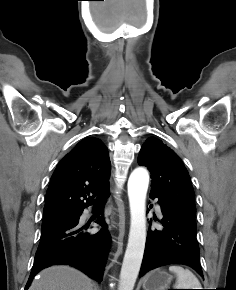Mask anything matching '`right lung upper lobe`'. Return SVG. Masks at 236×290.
Returning <instances> with one entry per match:
<instances>
[{
  "label": "right lung upper lobe",
  "instance_id": "right-lung-upper-lobe-1",
  "mask_svg": "<svg viewBox=\"0 0 236 290\" xmlns=\"http://www.w3.org/2000/svg\"><path fill=\"white\" fill-rule=\"evenodd\" d=\"M111 165L107 147L87 137L63 157L56 167L46 194L44 217L79 214L99 204L109 191ZM93 195L89 198L87 194Z\"/></svg>",
  "mask_w": 236,
  "mask_h": 290
}]
</instances>
